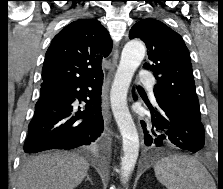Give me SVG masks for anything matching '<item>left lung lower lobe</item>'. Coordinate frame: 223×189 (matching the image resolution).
Returning a JSON list of instances; mask_svg holds the SVG:
<instances>
[{
  "instance_id": "left-lung-lower-lobe-1",
  "label": "left lung lower lobe",
  "mask_w": 223,
  "mask_h": 189,
  "mask_svg": "<svg viewBox=\"0 0 223 189\" xmlns=\"http://www.w3.org/2000/svg\"><path fill=\"white\" fill-rule=\"evenodd\" d=\"M145 102L152 117L150 125L141 122L147 147L154 149L172 143L193 153L204 148V126L201 121L175 112L157 99L154 107L149 101Z\"/></svg>"
}]
</instances>
